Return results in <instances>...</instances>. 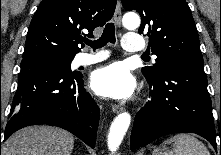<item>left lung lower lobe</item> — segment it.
Instances as JSON below:
<instances>
[{
    "label": "left lung lower lobe",
    "mask_w": 221,
    "mask_h": 155,
    "mask_svg": "<svg viewBox=\"0 0 221 155\" xmlns=\"http://www.w3.org/2000/svg\"><path fill=\"white\" fill-rule=\"evenodd\" d=\"M147 81L152 88L150 101L135 117L131 150L161 136L182 132L199 134L217 149L212 104L203 65L175 64L159 78Z\"/></svg>",
    "instance_id": "obj_1"
}]
</instances>
